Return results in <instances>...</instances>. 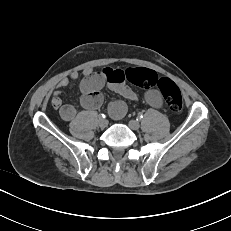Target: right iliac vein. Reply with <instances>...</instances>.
I'll return each mask as SVG.
<instances>
[{"label":"right iliac vein","mask_w":231,"mask_h":231,"mask_svg":"<svg viewBox=\"0 0 231 231\" xmlns=\"http://www.w3.org/2000/svg\"><path fill=\"white\" fill-rule=\"evenodd\" d=\"M98 125L101 127V128H105L107 125H108V122L107 120L103 119V118H99L98 120Z\"/></svg>","instance_id":"1"}]
</instances>
